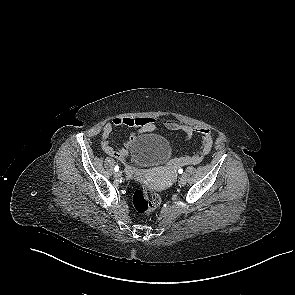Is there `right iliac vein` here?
I'll list each match as a JSON object with an SVG mask.
<instances>
[{"mask_svg":"<svg viewBox=\"0 0 295 295\" xmlns=\"http://www.w3.org/2000/svg\"><path fill=\"white\" fill-rule=\"evenodd\" d=\"M121 175H122V172H121V171H117V172L114 173V176H115L116 178H120Z\"/></svg>","mask_w":295,"mask_h":295,"instance_id":"63e3f726","label":"right iliac vein"}]
</instances>
